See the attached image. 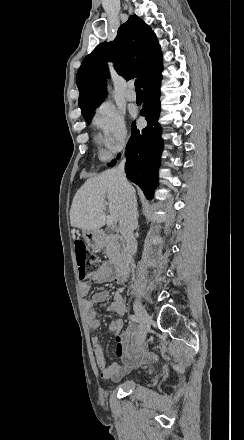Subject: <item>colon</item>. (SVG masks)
<instances>
[{"instance_id": "1", "label": "colon", "mask_w": 244, "mask_h": 440, "mask_svg": "<svg viewBox=\"0 0 244 440\" xmlns=\"http://www.w3.org/2000/svg\"><path fill=\"white\" fill-rule=\"evenodd\" d=\"M74 253L77 261L78 277L85 280L88 277V269L97 270L100 261L95 254L89 253L83 241L74 243Z\"/></svg>"}]
</instances>
